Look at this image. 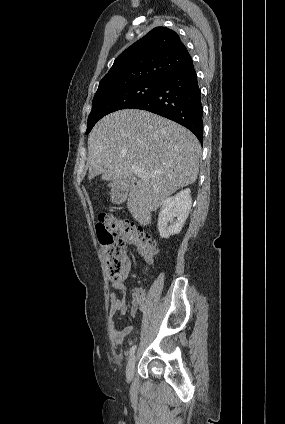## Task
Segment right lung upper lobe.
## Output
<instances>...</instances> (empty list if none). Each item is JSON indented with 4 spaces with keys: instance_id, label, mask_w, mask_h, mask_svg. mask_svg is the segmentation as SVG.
Returning a JSON list of instances; mask_svg holds the SVG:
<instances>
[{
    "instance_id": "right-lung-upper-lobe-1",
    "label": "right lung upper lobe",
    "mask_w": 285,
    "mask_h": 424,
    "mask_svg": "<svg viewBox=\"0 0 285 424\" xmlns=\"http://www.w3.org/2000/svg\"><path fill=\"white\" fill-rule=\"evenodd\" d=\"M191 63L178 34L166 27H156L115 59L97 91L139 81L164 82Z\"/></svg>"
}]
</instances>
